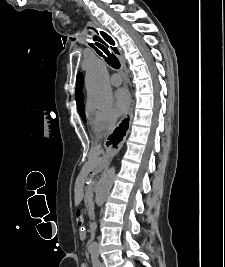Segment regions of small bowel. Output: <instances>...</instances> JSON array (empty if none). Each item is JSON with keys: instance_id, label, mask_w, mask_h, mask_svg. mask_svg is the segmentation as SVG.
Returning <instances> with one entry per match:
<instances>
[{"instance_id": "1", "label": "small bowel", "mask_w": 225, "mask_h": 267, "mask_svg": "<svg viewBox=\"0 0 225 267\" xmlns=\"http://www.w3.org/2000/svg\"><path fill=\"white\" fill-rule=\"evenodd\" d=\"M81 267H87V266H86V264H82V266H81Z\"/></svg>"}]
</instances>
